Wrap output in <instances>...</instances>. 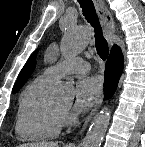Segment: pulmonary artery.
Segmentation results:
<instances>
[{"instance_id": "pulmonary-artery-1", "label": "pulmonary artery", "mask_w": 145, "mask_h": 147, "mask_svg": "<svg viewBox=\"0 0 145 147\" xmlns=\"http://www.w3.org/2000/svg\"><path fill=\"white\" fill-rule=\"evenodd\" d=\"M89 70L88 62L80 57H71L47 67L43 74L52 80H57L68 74L85 73Z\"/></svg>"}]
</instances>
